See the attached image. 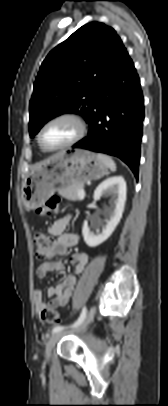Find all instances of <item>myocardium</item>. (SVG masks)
I'll return each mask as SVG.
<instances>
[{
	"label": "myocardium",
	"mask_w": 168,
	"mask_h": 406,
	"mask_svg": "<svg viewBox=\"0 0 168 406\" xmlns=\"http://www.w3.org/2000/svg\"><path fill=\"white\" fill-rule=\"evenodd\" d=\"M58 121L72 122L76 126V133L64 145L54 147V148L47 147L42 142V133L48 125H50L54 122H58ZM86 134H87V124H86L85 120L79 114L73 113V112H63V113H60V114H57V115L51 117L41 126V128L37 134V141H38V144L41 147V149H43L44 151L55 152V151L64 150V149H67V148L73 146L74 144H76L80 140H82Z\"/></svg>",
	"instance_id": "myocardium-1"
}]
</instances>
